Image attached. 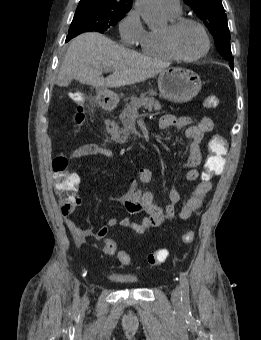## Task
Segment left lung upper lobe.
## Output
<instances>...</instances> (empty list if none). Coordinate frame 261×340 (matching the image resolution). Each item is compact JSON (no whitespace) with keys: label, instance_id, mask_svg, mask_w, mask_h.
<instances>
[{"label":"left lung upper lobe","instance_id":"5c2ea615","mask_svg":"<svg viewBox=\"0 0 261 340\" xmlns=\"http://www.w3.org/2000/svg\"><path fill=\"white\" fill-rule=\"evenodd\" d=\"M184 2L193 9L209 29L215 39L218 52L229 60L230 64H233L230 33L221 0H184Z\"/></svg>","mask_w":261,"mask_h":340}]
</instances>
